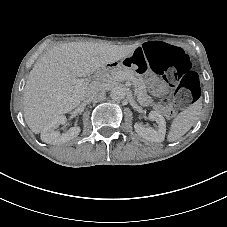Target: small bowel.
<instances>
[{"instance_id": "1", "label": "small bowel", "mask_w": 227, "mask_h": 227, "mask_svg": "<svg viewBox=\"0 0 227 227\" xmlns=\"http://www.w3.org/2000/svg\"><path fill=\"white\" fill-rule=\"evenodd\" d=\"M134 55H138L140 59L143 61V63H145L146 67H148V62L146 60L147 58H146L143 46L138 47L135 50Z\"/></svg>"}]
</instances>
